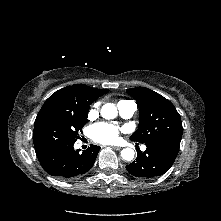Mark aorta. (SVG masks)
I'll list each match as a JSON object with an SVG mask.
<instances>
[{"label": "aorta", "instance_id": "aorta-1", "mask_svg": "<svg viewBox=\"0 0 221 221\" xmlns=\"http://www.w3.org/2000/svg\"><path fill=\"white\" fill-rule=\"evenodd\" d=\"M101 115L105 119H113L117 116V108L113 103H106L101 108ZM134 150L125 148L121 151V157L124 160L131 161L134 158Z\"/></svg>", "mask_w": 221, "mask_h": 221}]
</instances>
